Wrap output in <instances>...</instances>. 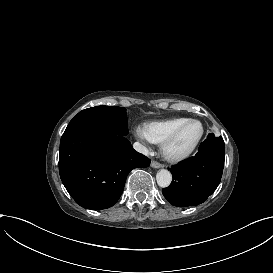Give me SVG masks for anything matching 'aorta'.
Segmentation results:
<instances>
[{"mask_svg":"<svg viewBox=\"0 0 273 273\" xmlns=\"http://www.w3.org/2000/svg\"><path fill=\"white\" fill-rule=\"evenodd\" d=\"M156 180L160 187L166 188L171 184L172 175L168 170L161 169L156 174Z\"/></svg>","mask_w":273,"mask_h":273,"instance_id":"aorta-1","label":"aorta"}]
</instances>
